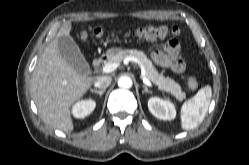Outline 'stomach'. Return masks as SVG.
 Masks as SVG:
<instances>
[{
	"mask_svg": "<svg viewBox=\"0 0 249 165\" xmlns=\"http://www.w3.org/2000/svg\"><path fill=\"white\" fill-rule=\"evenodd\" d=\"M118 51H119L118 48H112V49H110V50H108V51L106 52V56L109 58L110 56L114 55V54L117 53Z\"/></svg>",
	"mask_w": 249,
	"mask_h": 165,
	"instance_id": "obj_1",
	"label": "stomach"
}]
</instances>
